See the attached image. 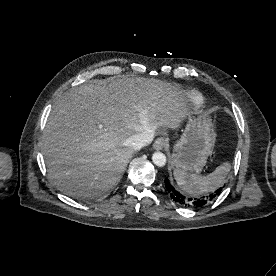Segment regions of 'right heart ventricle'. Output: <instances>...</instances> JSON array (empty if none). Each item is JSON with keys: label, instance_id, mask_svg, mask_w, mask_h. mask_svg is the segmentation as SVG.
<instances>
[{"label": "right heart ventricle", "instance_id": "right-heart-ventricle-1", "mask_svg": "<svg viewBox=\"0 0 276 276\" xmlns=\"http://www.w3.org/2000/svg\"><path fill=\"white\" fill-rule=\"evenodd\" d=\"M190 100H191L192 105L196 108L202 106V104L204 102L203 97L198 93L191 94Z\"/></svg>", "mask_w": 276, "mask_h": 276}]
</instances>
